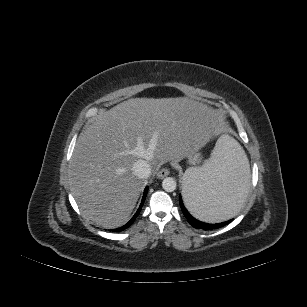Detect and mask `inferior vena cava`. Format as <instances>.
Masks as SVG:
<instances>
[{
	"instance_id": "inferior-vena-cava-1",
	"label": "inferior vena cava",
	"mask_w": 307,
	"mask_h": 307,
	"mask_svg": "<svg viewBox=\"0 0 307 307\" xmlns=\"http://www.w3.org/2000/svg\"><path fill=\"white\" fill-rule=\"evenodd\" d=\"M133 173L140 179L148 178L151 174V166L145 160H137L132 167Z\"/></svg>"
}]
</instances>
